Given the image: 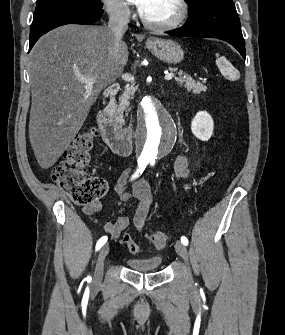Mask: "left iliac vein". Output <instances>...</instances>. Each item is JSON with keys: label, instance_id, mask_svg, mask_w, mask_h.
Listing matches in <instances>:
<instances>
[{"label": "left iliac vein", "instance_id": "4c4485c4", "mask_svg": "<svg viewBox=\"0 0 285 335\" xmlns=\"http://www.w3.org/2000/svg\"><path fill=\"white\" fill-rule=\"evenodd\" d=\"M175 250L178 253V255H180L183 258L184 261L186 262L188 261V251L186 246L182 242L176 241ZM188 278L189 281H192V277L190 274H188Z\"/></svg>", "mask_w": 285, "mask_h": 335}]
</instances>
